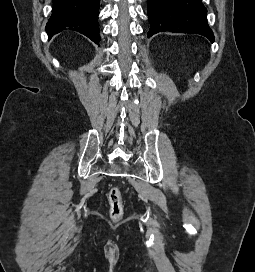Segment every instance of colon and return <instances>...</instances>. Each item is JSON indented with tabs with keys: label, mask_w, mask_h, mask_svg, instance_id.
<instances>
[{
	"label": "colon",
	"mask_w": 255,
	"mask_h": 272,
	"mask_svg": "<svg viewBox=\"0 0 255 272\" xmlns=\"http://www.w3.org/2000/svg\"><path fill=\"white\" fill-rule=\"evenodd\" d=\"M107 199L111 220L115 222L120 221L124 215V205L120 188L117 186L112 187L107 194Z\"/></svg>",
	"instance_id": "5ec220e1"
}]
</instances>
